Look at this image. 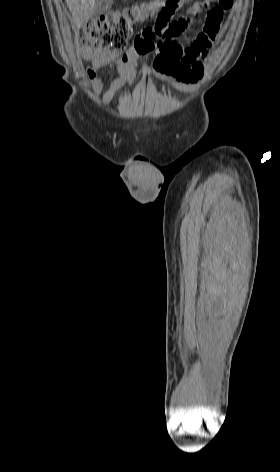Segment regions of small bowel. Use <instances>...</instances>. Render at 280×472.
I'll use <instances>...</instances> for the list:
<instances>
[{"label":"small bowel","instance_id":"small-bowel-1","mask_svg":"<svg viewBox=\"0 0 280 472\" xmlns=\"http://www.w3.org/2000/svg\"><path fill=\"white\" fill-rule=\"evenodd\" d=\"M192 2L193 0H183ZM206 5L195 2L189 9V15L168 22H157L153 27L141 30L134 39V44L121 57L115 58L100 49L83 46L80 49L84 60L91 65L87 69L95 93H102V103L109 104L117 91L126 84H132L137 78V65L143 56L153 55L151 72L168 81L174 88L181 91L193 90L204 75L203 59L217 37L220 23L207 24L197 35L195 41L182 47L177 38L190 26L192 20L201 16ZM104 68L116 70L115 78L109 88L103 92V81L99 73Z\"/></svg>","mask_w":280,"mask_h":472}]
</instances>
